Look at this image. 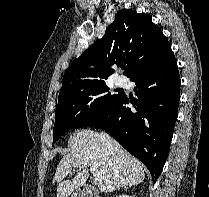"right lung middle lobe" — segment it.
Segmentation results:
<instances>
[{"mask_svg": "<svg viewBox=\"0 0 209 197\" xmlns=\"http://www.w3.org/2000/svg\"><path fill=\"white\" fill-rule=\"evenodd\" d=\"M104 82L83 83L62 88L55 111L53 141H57L66 131L73 127H86L100 116L122 95L111 94ZM91 101H93L89 106ZM93 113V114H92Z\"/></svg>", "mask_w": 209, "mask_h": 197, "instance_id": "obj_1", "label": "right lung middle lobe"}]
</instances>
